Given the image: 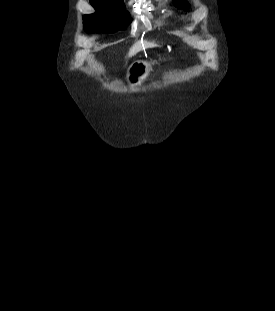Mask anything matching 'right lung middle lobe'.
Returning a JSON list of instances; mask_svg holds the SVG:
<instances>
[{"instance_id": "1", "label": "right lung middle lobe", "mask_w": 275, "mask_h": 311, "mask_svg": "<svg viewBox=\"0 0 275 311\" xmlns=\"http://www.w3.org/2000/svg\"><path fill=\"white\" fill-rule=\"evenodd\" d=\"M95 14L85 15L84 29L87 32L102 31L113 33L118 30H124L130 21H128L124 5H95Z\"/></svg>"}]
</instances>
